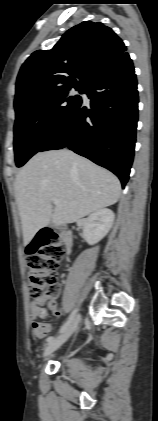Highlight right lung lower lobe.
I'll return each mask as SVG.
<instances>
[{"instance_id": "obj_1", "label": "right lung lower lobe", "mask_w": 158, "mask_h": 421, "mask_svg": "<svg viewBox=\"0 0 158 421\" xmlns=\"http://www.w3.org/2000/svg\"><path fill=\"white\" fill-rule=\"evenodd\" d=\"M82 99L52 137L38 150L68 147L116 174L122 187L133 162L138 120L137 80L124 53L106 64L83 87Z\"/></svg>"}]
</instances>
